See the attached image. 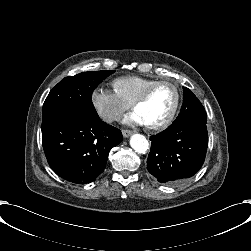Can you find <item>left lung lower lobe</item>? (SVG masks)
Instances as JSON below:
<instances>
[{"label":"left lung lower lobe","instance_id":"obj_1","mask_svg":"<svg viewBox=\"0 0 251 251\" xmlns=\"http://www.w3.org/2000/svg\"><path fill=\"white\" fill-rule=\"evenodd\" d=\"M150 140L148 172L160 183L175 184L192 177L202 167L208 146L206 122L170 126Z\"/></svg>","mask_w":251,"mask_h":251}]
</instances>
